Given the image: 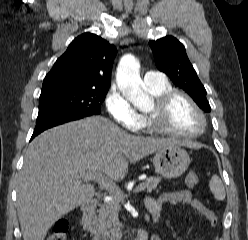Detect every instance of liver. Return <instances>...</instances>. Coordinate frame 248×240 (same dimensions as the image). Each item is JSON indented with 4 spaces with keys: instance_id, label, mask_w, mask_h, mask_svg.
I'll return each mask as SVG.
<instances>
[{
    "instance_id": "obj_1",
    "label": "liver",
    "mask_w": 248,
    "mask_h": 240,
    "mask_svg": "<svg viewBox=\"0 0 248 240\" xmlns=\"http://www.w3.org/2000/svg\"><path fill=\"white\" fill-rule=\"evenodd\" d=\"M171 139L130 135L110 120L88 117L54 127L29 145L17 187V212L24 240H44L50 227L77 206L90 202L87 173L115 181L135 163L177 145Z\"/></svg>"
}]
</instances>
